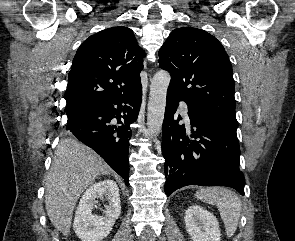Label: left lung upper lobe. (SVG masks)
Listing matches in <instances>:
<instances>
[{
    "label": "left lung upper lobe",
    "instance_id": "1",
    "mask_svg": "<svg viewBox=\"0 0 295 241\" xmlns=\"http://www.w3.org/2000/svg\"><path fill=\"white\" fill-rule=\"evenodd\" d=\"M159 65L171 75L168 91L188 109L237 129L232 65L224 47L204 30H173L159 51Z\"/></svg>",
    "mask_w": 295,
    "mask_h": 241
}]
</instances>
